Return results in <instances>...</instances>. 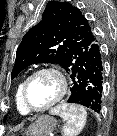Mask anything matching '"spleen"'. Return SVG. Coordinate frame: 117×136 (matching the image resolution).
I'll use <instances>...</instances> for the list:
<instances>
[{
    "mask_svg": "<svg viewBox=\"0 0 117 136\" xmlns=\"http://www.w3.org/2000/svg\"><path fill=\"white\" fill-rule=\"evenodd\" d=\"M52 115L60 116L66 124L63 126V136H77L84 128L87 112L84 107L76 104L62 103L52 108Z\"/></svg>",
    "mask_w": 117,
    "mask_h": 136,
    "instance_id": "3e777b00",
    "label": "spleen"
}]
</instances>
